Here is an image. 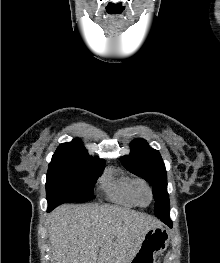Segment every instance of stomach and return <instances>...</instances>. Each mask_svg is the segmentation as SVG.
I'll use <instances>...</instances> for the list:
<instances>
[{"mask_svg": "<svg viewBox=\"0 0 220 263\" xmlns=\"http://www.w3.org/2000/svg\"><path fill=\"white\" fill-rule=\"evenodd\" d=\"M169 240V232L163 227L150 229L130 263H156L157 256L167 249Z\"/></svg>", "mask_w": 220, "mask_h": 263, "instance_id": "obj_1", "label": "stomach"}]
</instances>
